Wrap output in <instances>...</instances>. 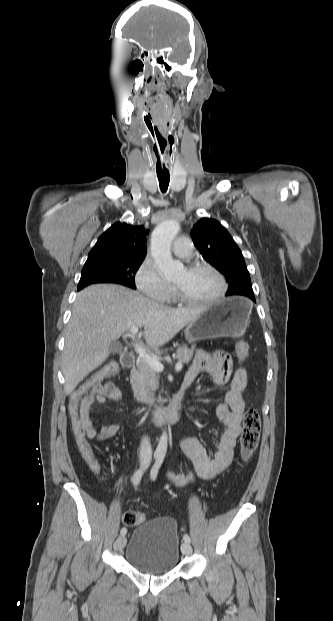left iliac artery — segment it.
Segmentation results:
<instances>
[{
    "label": "left iliac artery",
    "mask_w": 333,
    "mask_h": 621,
    "mask_svg": "<svg viewBox=\"0 0 333 621\" xmlns=\"http://www.w3.org/2000/svg\"><path fill=\"white\" fill-rule=\"evenodd\" d=\"M163 460H164V456L163 455L158 456L156 461H155V463H154V465H153V467H152V469H151L150 477H151V479L153 481H155L156 478H157V475H158L159 469H160V467H161V465L163 463ZM183 540L186 543H189V544L191 542V539H190L188 534H184Z\"/></svg>",
    "instance_id": "1"
}]
</instances>
